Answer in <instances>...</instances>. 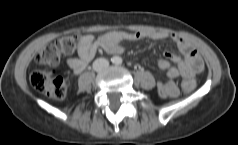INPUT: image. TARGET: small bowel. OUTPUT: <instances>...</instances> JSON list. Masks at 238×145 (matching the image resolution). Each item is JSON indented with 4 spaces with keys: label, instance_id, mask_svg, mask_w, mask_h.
I'll return each mask as SVG.
<instances>
[{
    "label": "small bowel",
    "instance_id": "1",
    "mask_svg": "<svg viewBox=\"0 0 238 145\" xmlns=\"http://www.w3.org/2000/svg\"><path fill=\"white\" fill-rule=\"evenodd\" d=\"M171 38L178 46L179 50L184 54V58L176 56L170 51L165 52L166 58L175 63L171 66L169 61L162 58L158 62L161 70L166 71L167 80L158 81V93L163 98H173L178 96L179 88L175 83L178 77L183 78V83L195 87V76L204 69L203 61L198 51L192 46L191 42L179 35L170 34L164 31H126L113 30L100 35L97 39L92 34L78 35L77 57L67 60L68 66L74 73L82 72L95 55L103 50L109 54H121L124 51L123 41L136 40H161Z\"/></svg>",
    "mask_w": 238,
    "mask_h": 145
}]
</instances>
